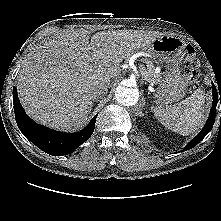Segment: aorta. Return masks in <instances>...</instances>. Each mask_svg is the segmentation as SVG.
Here are the masks:
<instances>
[{
    "instance_id": "aorta-1",
    "label": "aorta",
    "mask_w": 221,
    "mask_h": 221,
    "mask_svg": "<svg viewBox=\"0 0 221 221\" xmlns=\"http://www.w3.org/2000/svg\"><path fill=\"white\" fill-rule=\"evenodd\" d=\"M139 98V91L136 88H128L125 86H118L115 91L116 101L124 106L135 105Z\"/></svg>"
}]
</instances>
